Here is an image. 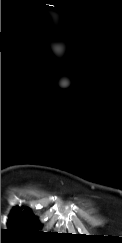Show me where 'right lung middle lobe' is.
<instances>
[{
	"instance_id": "dd1d6c3e",
	"label": "right lung middle lobe",
	"mask_w": 122,
	"mask_h": 243,
	"mask_svg": "<svg viewBox=\"0 0 122 243\" xmlns=\"http://www.w3.org/2000/svg\"><path fill=\"white\" fill-rule=\"evenodd\" d=\"M8 227L10 233L15 235H34L38 232L40 224L29 209L22 210L16 207L9 217Z\"/></svg>"
}]
</instances>
